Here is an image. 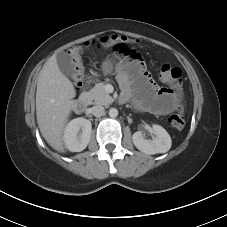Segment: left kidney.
Listing matches in <instances>:
<instances>
[{"label": "left kidney", "mask_w": 227, "mask_h": 227, "mask_svg": "<svg viewBox=\"0 0 227 227\" xmlns=\"http://www.w3.org/2000/svg\"><path fill=\"white\" fill-rule=\"evenodd\" d=\"M155 138L147 140L142 132L137 131L133 134L132 140L135 147L145 154L165 153L169 151L172 145L171 137L168 132L160 125H153Z\"/></svg>", "instance_id": "5707ae66"}]
</instances>
